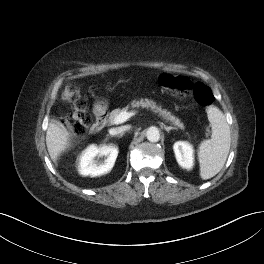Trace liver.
<instances>
[{"instance_id":"liver-1","label":"liver","mask_w":264,"mask_h":264,"mask_svg":"<svg viewBox=\"0 0 264 264\" xmlns=\"http://www.w3.org/2000/svg\"><path fill=\"white\" fill-rule=\"evenodd\" d=\"M46 145L52 161L56 162L58 156L71 146V134L62 123L52 120L46 132Z\"/></svg>"}]
</instances>
